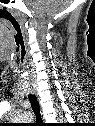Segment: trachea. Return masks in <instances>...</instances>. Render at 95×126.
<instances>
[{"mask_svg": "<svg viewBox=\"0 0 95 126\" xmlns=\"http://www.w3.org/2000/svg\"><path fill=\"white\" fill-rule=\"evenodd\" d=\"M28 98L31 103L33 112L36 116L37 124L43 123L42 118H41V114H40V106H39V102L37 100V97L33 94H29Z\"/></svg>", "mask_w": 95, "mask_h": 126, "instance_id": "1", "label": "trachea"}]
</instances>
